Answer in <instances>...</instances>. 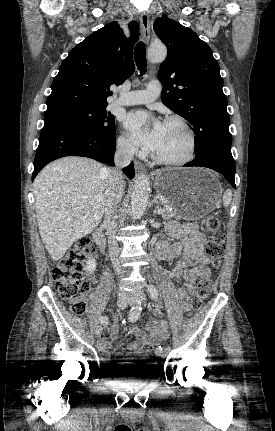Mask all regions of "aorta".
Segmentation results:
<instances>
[{
	"label": "aorta",
	"mask_w": 275,
	"mask_h": 431,
	"mask_svg": "<svg viewBox=\"0 0 275 431\" xmlns=\"http://www.w3.org/2000/svg\"><path fill=\"white\" fill-rule=\"evenodd\" d=\"M166 55L167 49L164 45H153L148 50V58L152 63L164 61ZM149 194V179L145 174H141L135 179L131 194V215L133 219L140 218L145 212Z\"/></svg>",
	"instance_id": "obj_1"
}]
</instances>
